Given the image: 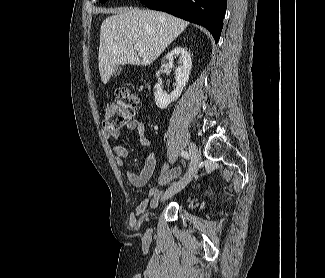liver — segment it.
<instances>
[{
  "label": "liver",
  "instance_id": "1",
  "mask_svg": "<svg viewBox=\"0 0 325 278\" xmlns=\"http://www.w3.org/2000/svg\"><path fill=\"white\" fill-rule=\"evenodd\" d=\"M100 29L99 72L107 84L119 65L151 64L188 26L170 14L140 9H112ZM141 44V50L134 45Z\"/></svg>",
  "mask_w": 325,
  "mask_h": 278
}]
</instances>
